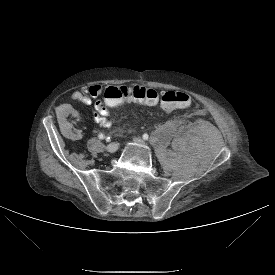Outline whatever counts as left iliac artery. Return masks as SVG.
<instances>
[{"mask_svg":"<svg viewBox=\"0 0 275 275\" xmlns=\"http://www.w3.org/2000/svg\"><path fill=\"white\" fill-rule=\"evenodd\" d=\"M148 138H149L148 134L145 133V134L143 135V139H144V140H148Z\"/></svg>","mask_w":275,"mask_h":275,"instance_id":"left-iliac-artery-1","label":"left iliac artery"}]
</instances>
